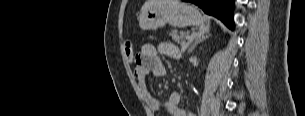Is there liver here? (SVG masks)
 I'll return each instance as SVG.
<instances>
[{"label": "liver", "instance_id": "6515ba94", "mask_svg": "<svg viewBox=\"0 0 305 116\" xmlns=\"http://www.w3.org/2000/svg\"><path fill=\"white\" fill-rule=\"evenodd\" d=\"M177 0H146L144 5L141 8V14L144 13L150 6L157 4V3H170Z\"/></svg>", "mask_w": 305, "mask_h": 116}]
</instances>
